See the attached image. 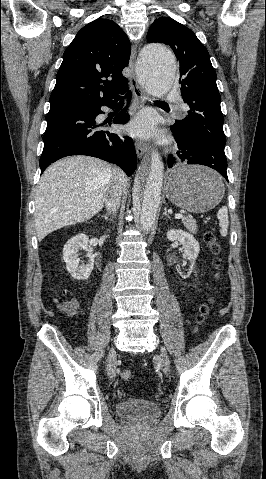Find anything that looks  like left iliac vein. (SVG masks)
I'll use <instances>...</instances> for the list:
<instances>
[{"mask_svg":"<svg viewBox=\"0 0 266 479\" xmlns=\"http://www.w3.org/2000/svg\"><path fill=\"white\" fill-rule=\"evenodd\" d=\"M160 358H161V363H162L164 372L168 373L169 368H170V362H169V358H168L167 354L165 352H162L160 354Z\"/></svg>","mask_w":266,"mask_h":479,"instance_id":"1","label":"left iliac vein"}]
</instances>
